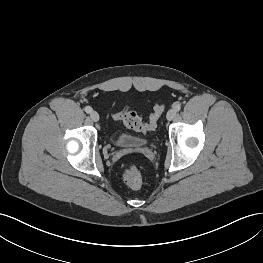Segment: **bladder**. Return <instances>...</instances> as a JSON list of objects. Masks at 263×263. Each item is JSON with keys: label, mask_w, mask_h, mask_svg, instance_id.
<instances>
[{"label": "bladder", "mask_w": 263, "mask_h": 263, "mask_svg": "<svg viewBox=\"0 0 263 263\" xmlns=\"http://www.w3.org/2000/svg\"><path fill=\"white\" fill-rule=\"evenodd\" d=\"M109 140L115 146L127 148L141 147L146 143L145 139L129 133H111L109 136Z\"/></svg>", "instance_id": "1"}]
</instances>
